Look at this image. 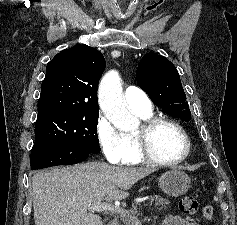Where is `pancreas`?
<instances>
[{"mask_svg": "<svg viewBox=\"0 0 237 225\" xmlns=\"http://www.w3.org/2000/svg\"><path fill=\"white\" fill-rule=\"evenodd\" d=\"M150 201V205L153 204V202H155V206L158 207L160 210H162L163 208H167V205L169 204V201L165 198H162L159 195L156 196H151L149 198ZM138 216L139 213L137 211L136 207H133V209L124 212L121 214L120 216V221L124 224V225H133L135 222L138 221Z\"/></svg>", "mask_w": 237, "mask_h": 225, "instance_id": "cf45deb5", "label": "pancreas"}]
</instances>
